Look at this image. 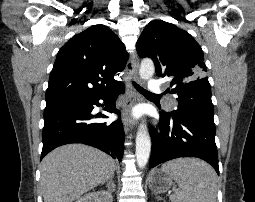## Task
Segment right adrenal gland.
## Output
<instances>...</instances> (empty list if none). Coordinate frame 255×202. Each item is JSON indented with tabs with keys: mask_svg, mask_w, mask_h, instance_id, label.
Masks as SVG:
<instances>
[{
	"mask_svg": "<svg viewBox=\"0 0 255 202\" xmlns=\"http://www.w3.org/2000/svg\"><path fill=\"white\" fill-rule=\"evenodd\" d=\"M103 185H104V183L101 184V186H103ZM106 188H107V190H108L110 193L115 192V190H116V185H115V183H114V181H113V176L107 181V183H106Z\"/></svg>",
	"mask_w": 255,
	"mask_h": 202,
	"instance_id": "obj_1",
	"label": "right adrenal gland"
}]
</instances>
